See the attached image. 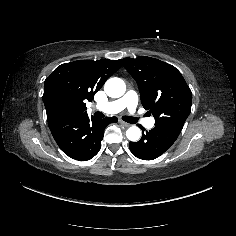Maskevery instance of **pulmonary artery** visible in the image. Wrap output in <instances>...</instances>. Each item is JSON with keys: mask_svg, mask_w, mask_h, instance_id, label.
<instances>
[{"mask_svg": "<svg viewBox=\"0 0 236 236\" xmlns=\"http://www.w3.org/2000/svg\"><path fill=\"white\" fill-rule=\"evenodd\" d=\"M138 104V97L136 95H132L130 92L122 96L121 98L109 101L105 103L101 110L107 115H114L119 113L124 109H128L130 113H134L135 119L137 122L141 123L144 127H149L152 125L153 120L151 117L146 116L139 112L138 110L135 111Z\"/></svg>", "mask_w": 236, "mask_h": 236, "instance_id": "e3ab8cb5", "label": "pulmonary artery"}]
</instances>
